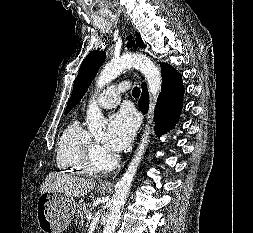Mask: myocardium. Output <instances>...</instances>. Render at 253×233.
Wrapping results in <instances>:
<instances>
[{"label": "myocardium", "mask_w": 253, "mask_h": 233, "mask_svg": "<svg viewBox=\"0 0 253 233\" xmlns=\"http://www.w3.org/2000/svg\"><path fill=\"white\" fill-rule=\"evenodd\" d=\"M84 162L92 171H104L116 165L117 157L104 155L101 145L94 137H91L84 153Z\"/></svg>", "instance_id": "myocardium-1"}]
</instances>
